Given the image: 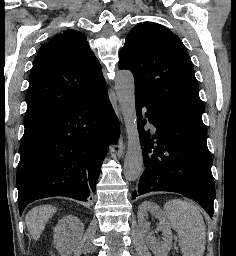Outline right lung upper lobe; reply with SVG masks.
I'll use <instances>...</instances> for the list:
<instances>
[{"label": "right lung upper lobe", "mask_w": 236, "mask_h": 256, "mask_svg": "<svg viewBox=\"0 0 236 256\" xmlns=\"http://www.w3.org/2000/svg\"><path fill=\"white\" fill-rule=\"evenodd\" d=\"M99 61L83 33L66 30L38 50L26 94V122L42 123L105 89Z\"/></svg>", "instance_id": "1"}]
</instances>
